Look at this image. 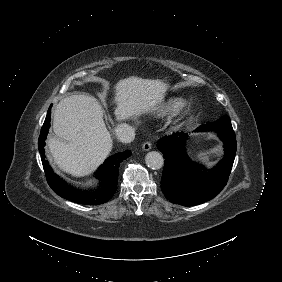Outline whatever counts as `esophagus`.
Wrapping results in <instances>:
<instances>
[{
	"instance_id": "esophagus-1",
	"label": "esophagus",
	"mask_w": 282,
	"mask_h": 282,
	"mask_svg": "<svg viewBox=\"0 0 282 282\" xmlns=\"http://www.w3.org/2000/svg\"><path fill=\"white\" fill-rule=\"evenodd\" d=\"M151 143L150 142H145L144 144H143V150L144 151H149L150 149H151Z\"/></svg>"
}]
</instances>
